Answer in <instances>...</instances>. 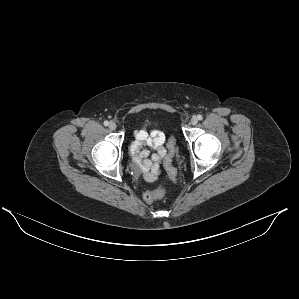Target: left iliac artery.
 Here are the masks:
<instances>
[{
    "mask_svg": "<svg viewBox=\"0 0 299 299\" xmlns=\"http://www.w3.org/2000/svg\"><path fill=\"white\" fill-rule=\"evenodd\" d=\"M197 118H198V120H202L203 119L202 115H200V114L197 116Z\"/></svg>",
    "mask_w": 299,
    "mask_h": 299,
    "instance_id": "1",
    "label": "left iliac artery"
}]
</instances>
